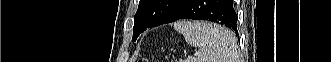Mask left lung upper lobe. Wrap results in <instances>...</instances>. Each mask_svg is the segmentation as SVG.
<instances>
[{"label":"left lung upper lobe","instance_id":"left-lung-upper-lobe-1","mask_svg":"<svg viewBox=\"0 0 331 62\" xmlns=\"http://www.w3.org/2000/svg\"><path fill=\"white\" fill-rule=\"evenodd\" d=\"M184 0H140L134 16L133 37L139 26L164 24Z\"/></svg>","mask_w":331,"mask_h":62}]
</instances>
